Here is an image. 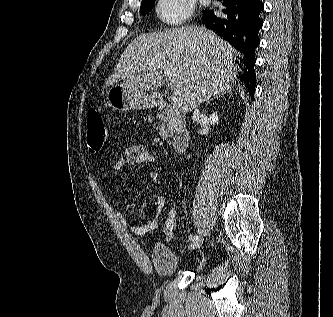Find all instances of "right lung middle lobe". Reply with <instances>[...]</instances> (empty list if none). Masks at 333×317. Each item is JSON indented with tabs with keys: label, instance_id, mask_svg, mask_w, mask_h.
<instances>
[{
	"label": "right lung middle lobe",
	"instance_id": "obj_1",
	"mask_svg": "<svg viewBox=\"0 0 333 317\" xmlns=\"http://www.w3.org/2000/svg\"><path fill=\"white\" fill-rule=\"evenodd\" d=\"M154 1L155 0H145V1H142L141 8H140V13L141 14L148 13L152 9Z\"/></svg>",
	"mask_w": 333,
	"mask_h": 317
}]
</instances>
